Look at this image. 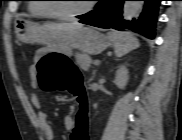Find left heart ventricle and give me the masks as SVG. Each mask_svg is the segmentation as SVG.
<instances>
[{"label":"left heart ventricle","mask_w":182,"mask_h":140,"mask_svg":"<svg viewBox=\"0 0 182 140\" xmlns=\"http://www.w3.org/2000/svg\"><path fill=\"white\" fill-rule=\"evenodd\" d=\"M63 2L58 3V8L66 13H73L81 10L86 6V1L82 0H62Z\"/></svg>","instance_id":"b2bd125f"}]
</instances>
